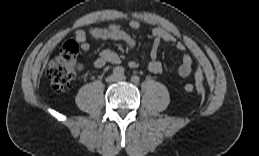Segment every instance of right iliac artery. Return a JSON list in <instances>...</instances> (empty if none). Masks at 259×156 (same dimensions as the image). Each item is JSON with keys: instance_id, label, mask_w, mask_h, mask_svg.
Here are the masks:
<instances>
[{"instance_id": "82829eb1", "label": "right iliac artery", "mask_w": 259, "mask_h": 156, "mask_svg": "<svg viewBox=\"0 0 259 156\" xmlns=\"http://www.w3.org/2000/svg\"><path fill=\"white\" fill-rule=\"evenodd\" d=\"M125 72L124 68L121 66H117L112 70V73L116 76H121L123 75Z\"/></svg>"}]
</instances>
